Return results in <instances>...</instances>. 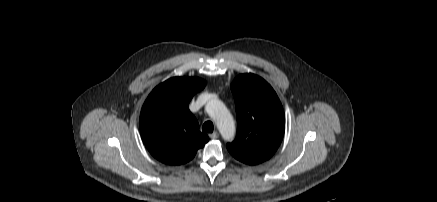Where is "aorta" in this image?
<instances>
[{
    "label": "aorta",
    "mask_w": 437,
    "mask_h": 202,
    "mask_svg": "<svg viewBox=\"0 0 437 202\" xmlns=\"http://www.w3.org/2000/svg\"><path fill=\"white\" fill-rule=\"evenodd\" d=\"M206 111L215 121L222 138L231 141L235 136V123L224 103L213 99L207 103Z\"/></svg>",
    "instance_id": "obj_1"
}]
</instances>
